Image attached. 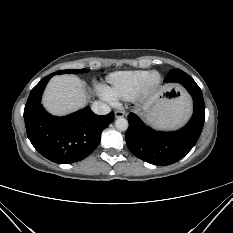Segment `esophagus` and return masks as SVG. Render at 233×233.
<instances>
[{
	"label": "esophagus",
	"instance_id": "1",
	"mask_svg": "<svg viewBox=\"0 0 233 233\" xmlns=\"http://www.w3.org/2000/svg\"><path fill=\"white\" fill-rule=\"evenodd\" d=\"M124 115H125V112L123 110H117V111H115V117L116 118L123 117Z\"/></svg>",
	"mask_w": 233,
	"mask_h": 233
}]
</instances>
